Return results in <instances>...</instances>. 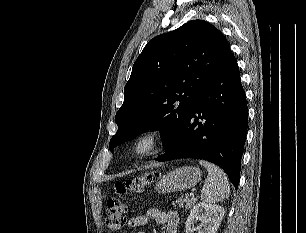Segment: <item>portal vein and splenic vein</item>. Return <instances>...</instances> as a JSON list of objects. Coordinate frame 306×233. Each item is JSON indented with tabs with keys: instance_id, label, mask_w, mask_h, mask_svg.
I'll return each instance as SVG.
<instances>
[{
	"instance_id": "18ae733b",
	"label": "portal vein and splenic vein",
	"mask_w": 306,
	"mask_h": 233,
	"mask_svg": "<svg viewBox=\"0 0 306 233\" xmlns=\"http://www.w3.org/2000/svg\"><path fill=\"white\" fill-rule=\"evenodd\" d=\"M190 196H191V197H194V193H191Z\"/></svg>"
}]
</instances>
